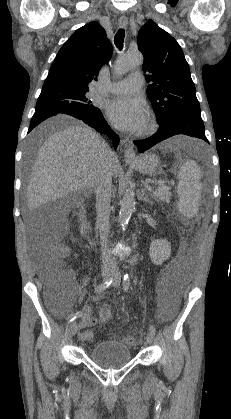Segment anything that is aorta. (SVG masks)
Returning a JSON list of instances; mask_svg holds the SVG:
<instances>
[{
	"instance_id": "obj_1",
	"label": "aorta",
	"mask_w": 231,
	"mask_h": 419,
	"mask_svg": "<svg viewBox=\"0 0 231 419\" xmlns=\"http://www.w3.org/2000/svg\"><path fill=\"white\" fill-rule=\"evenodd\" d=\"M143 63V55L140 52L128 53L117 59L115 63V71L117 74H125L134 67H138ZM135 207L134 192L128 190L125 192L121 201L119 212V221L122 227H125L133 213Z\"/></svg>"
}]
</instances>
